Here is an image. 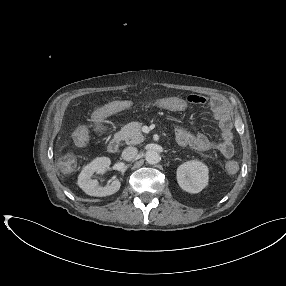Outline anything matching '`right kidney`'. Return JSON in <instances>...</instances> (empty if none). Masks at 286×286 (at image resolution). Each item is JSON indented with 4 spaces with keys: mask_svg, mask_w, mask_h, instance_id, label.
<instances>
[{
    "mask_svg": "<svg viewBox=\"0 0 286 286\" xmlns=\"http://www.w3.org/2000/svg\"><path fill=\"white\" fill-rule=\"evenodd\" d=\"M111 160L108 157H98L87 164L78 176L79 187L88 195L105 197L116 193L121 186L118 179H114L110 185L99 186L96 179H92L94 173L104 174L109 168Z\"/></svg>",
    "mask_w": 286,
    "mask_h": 286,
    "instance_id": "right-kidney-1",
    "label": "right kidney"
}]
</instances>
